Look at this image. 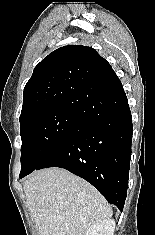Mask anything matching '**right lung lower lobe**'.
<instances>
[{
    "label": "right lung lower lobe",
    "instance_id": "obj_1",
    "mask_svg": "<svg viewBox=\"0 0 155 235\" xmlns=\"http://www.w3.org/2000/svg\"><path fill=\"white\" fill-rule=\"evenodd\" d=\"M85 123L34 170L61 167L87 180L122 211L131 159L132 119L119 79L85 92ZM34 170L20 173V178Z\"/></svg>",
    "mask_w": 155,
    "mask_h": 235
}]
</instances>
